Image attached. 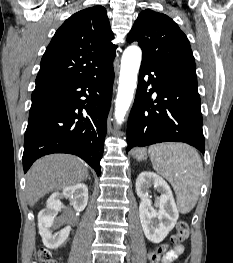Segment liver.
Here are the masks:
<instances>
[{"instance_id":"1","label":"liver","mask_w":233,"mask_h":263,"mask_svg":"<svg viewBox=\"0 0 233 263\" xmlns=\"http://www.w3.org/2000/svg\"><path fill=\"white\" fill-rule=\"evenodd\" d=\"M87 177L88 170L79 158L67 154L45 156L27 173V201L33 206L45 194L78 184Z\"/></svg>"}]
</instances>
